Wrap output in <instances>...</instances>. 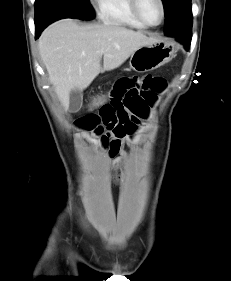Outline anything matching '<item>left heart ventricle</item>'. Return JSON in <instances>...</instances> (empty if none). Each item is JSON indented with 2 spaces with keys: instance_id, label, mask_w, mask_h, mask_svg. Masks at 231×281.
I'll list each match as a JSON object with an SVG mask.
<instances>
[{
  "instance_id": "left-heart-ventricle-1",
  "label": "left heart ventricle",
  "mask_w": 231,
  "mask_h": 281,
  "mask_svg": "<svg viewBox=\"0 0 231 281\" xmlns=\"http://www.w3.org/2000/svg\"><path fill=\"white\" fill-rule=\"evenodd\" d=\"M140 9L145 19L157 24L161 19V7L158 0H140Z\"/></svg>"
}]
</instances>
